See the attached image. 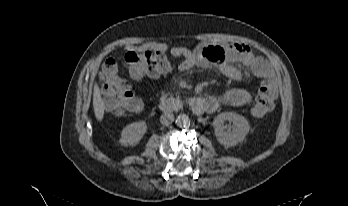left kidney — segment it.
Listing matches in <instances>:
<instances>
[{
    "label": "left kidney",
    "instance_id": "left-kidney-1",
    "mask_svg": "<svg viewBox=\"0 0 348 206\" xmlns=\"http://www.w3.org/2000/svg\"><path fill=\"white\" fill-rule=\"evenodd\" d=\"M229 121L233 124L231 131H225L224 122ZM215 136L218 142L225 147L236 146L243 141L249 133V122L241 115L234 112H222L213 121Z\"/></svg>",
    "mask_w": 348,
    "mask_h": 206
}]
</instances>
